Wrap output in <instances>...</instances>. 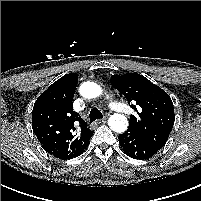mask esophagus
I'll return each instance as SVG.
<instances>
[{
    "mask_svg": "<svg viewBox=\"0 0 201 201\" xmlns=\"http://www.w3.org/2000/svg\"><path fill=\"white\" fill-rule=\"evenodd\" d=\"M108 115H109V114H105L101 119H98V120L95 122V124L97 125V124H100V123L104 122V121L107 119Z\"/></svg>",
    "mask_w": 201,
    "mask_h": 201,
    "instance_id": "obj_1",
    "label": "esophagus"
}]
</instances>
